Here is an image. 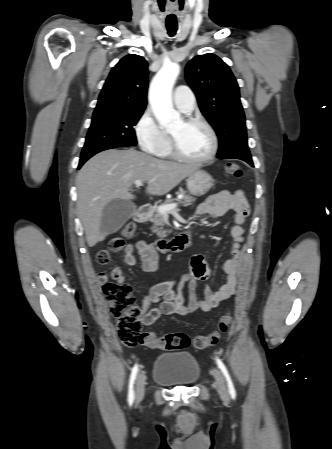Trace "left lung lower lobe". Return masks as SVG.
Listing matches in <instances>:
<instances>
[{"mask_svg": "<svg viewBox=\"0 0 332 449\" xmlns=\"http://www.w3.org/2000/svg\"><path fill=\"white\" fill-rule=\"evenodd\" d=\"M218 158H219V157H218ZM220 159H224V158H220ZM241 160H243V161L249 163L251 166H254L251 158H241Z\"/></svg>", "mask_w": 332, "mask_h": 449, "instance_id": "0a47b994", "label": "left lung lower lobe"}]
</instances>
